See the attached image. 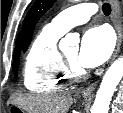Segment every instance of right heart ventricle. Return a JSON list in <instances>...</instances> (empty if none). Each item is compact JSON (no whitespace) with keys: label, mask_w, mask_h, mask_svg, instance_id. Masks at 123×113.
<instances>
[{"label":"right heart ventricle","mask_w":123,"mask_h":113,"mask_svg":"<svg viewBox=\"0 0 123 113\" xmlns=\"http://www.w3.org/2000/svg\"><path fill=\"white\" fill-rule=\"evenodd\" d=\"M63 33L47 25L35 36L23 67V81L28 90L54 93L69 81L57 46Z\"/></svg>","instance_id":"right-heart-ventricle-1"}]
</instances>
